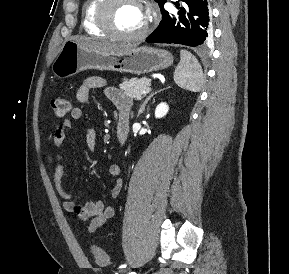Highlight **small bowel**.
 Masks as SVG:
<instances>
[{"instance_id": "1", "label": "small bowel", "mask_w": 289, "mask_h": 274, "mask_svg": "<svg viewBox=\"0 0 289 274\" xmlns=\"http://www.w3.org/2000/svg\"><path fill=\"white\" fill-rule=\"evenodd\" d=\"M103 89L106 97L115 105L119 113L130 114L131 100L122 91L115 87L108 86L106 81L98 76L86 78L78 87L76 99L82 105H86L92 90ZM82 106L73 107L70 110V119L58 125L53 133V146L56 150L48 156V163L52 168V176L55 187L60 197L64 200L63 207L67 212L72 213L79 221H89L88 231L93 234L107 220L113 218L115 209L111 205H106L102 200H93L85 203L76 202L72 199V194L62 186L64 176L63 157L60 149L66 139L67 131L71 126L72 120H81L84 116ZM86 146L89 151H94L97 146V135L94 128H89L85 137ZM111 176L116 178L115 184L111 189L112 198H117L122 190V168L117 164H112L108 168Z\"/></svg>"}]
</instances>
